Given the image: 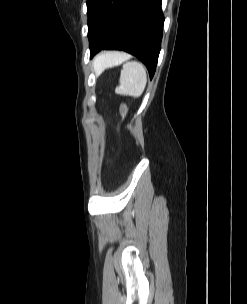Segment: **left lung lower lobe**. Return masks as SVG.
<instances>
[{
	"instance_id": "left-lung-lower-lobe-1",
	"label": "left lung lower lobe",
	"mask_w": 247,
	"mask_h": 304,
	"mask_svg": "<svg viewBox=\"0 0 247 304\" xmlns=\"http://www.w3.org/2000/svg\"><path fill=\"white\" fill-rule=\"evenodd\" d=\"M162 0H102L88 22L90 57L102 49L124 50L138 57L152 79L161 47Z\"/></svg>"
}]
</instances>
